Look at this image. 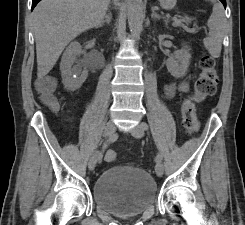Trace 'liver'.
I'll use <instances>...</instances> for the list:
<instances>
[{
  "mask_svg": "<svg viewBox=\"0 0 245 225\" xmlns=\"http://www.w3.org/2000/svg\"><path fill=\"white\" fill-rule=\"evenodd\" d=\"M110 0H42L34 9L37 76L45 77L67 44L103 20Z\"/></svg>",
  "mask_w": 245,
  "mask_h": 225,
  "instance_id": "liver-1",
  "label": "liver"
}]
</instances>
